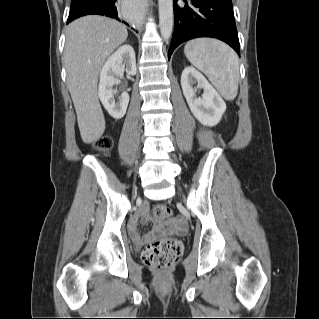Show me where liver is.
I'll list each match as a JSON object with an SVG mask.
<instances>
[{
	"label": "liver",
	"mask_w": 319,
	"mask_h": 319,
	"mask_svg": "<svg viewBox=\"0 0 319 319\" xmlns=\"http://www.w3.org/2000/svg\"><path fill=\"white\" fill-rule=\"evenodd\" d=\"M128 37L122 23L104 16L81 17L67 27L64 63L67 86L84 143L97 141L105 119L97 94L98 76L106 58Z\"/></svg>",
	"instance_id": "6515ba94"
}]
</instances>
